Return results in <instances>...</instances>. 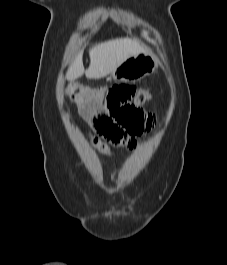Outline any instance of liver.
<instances>
[{"instance_id": "6515ba94", "label": "liver", "mask_w": 227, "mask_h": 265, "mask_svg": "<svg viewBox=\"0 0 227 265\" xmlns=\"http://www.w3.org/2000/svg\"><path fill=\"white\" fill-rule=\"evenodd\" d=\"M145 48L131 38H116L96 44L89 49L90 65L85 71L80 53L69 67L66 78L74 81L84 73L88 79H99L114 71L131 56L144 52Z\"/></svg>"}]
</instances>
